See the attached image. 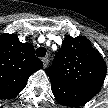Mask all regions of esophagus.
Returning a JSON list of instances; mask_svg holds the SVG:
<instances>
[{
  "label": "esophagus",
  "mask_w": 108,
  "mask_h": 108,
  "mask_svg": "<svg viewBox=\"0 0 108 108\" xmlns=\"http://www.w3.org/2000/svg\"><path fill=\"white\" fill-rule=\"evenodd\" d=\"M42 62H43L44 68H46L47 65H48V59H47V58H43V59H42Z\"/></svg>",
  "instance_id": "1"
}]
</instances>
